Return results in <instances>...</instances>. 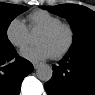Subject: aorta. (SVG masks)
<instances>
[{
    "instance_id": "obj_1",
    "label": "aorta",
    "mask_w": 95,
    "mask_h": 95,
    "mask_svg": "<svg viewBox=\"0 0 95 95\" xmlns=\"http://www.w3.org/2000/svg\"><path fill=\"white\" fill-rule=\"evenodd\" d=\"M53 75L52 68L47 64H40L36 70V76L39 80L48 82Z\"/></svg>"
}]
</instances>
